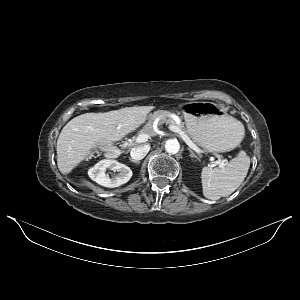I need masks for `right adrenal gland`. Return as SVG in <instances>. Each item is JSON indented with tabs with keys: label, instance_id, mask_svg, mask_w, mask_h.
Listing matches in <instances>:
<instances>
[{
	"label": "right adrenal gland",
	"instance_id": "2a0ac1e0",
	"mask_svg": "<svg viewBox=\"0 0 300 300\" xmlns=\"http://www.w3.org/2000/svg\"><path fill=\"white\" fill-rule=\"evenodd\" d=\"M129 160H130L132 163L140 164V161H136V160H134V159H132V158H130V157H129Z\"/></svg>",
	"mask_w": 300,
	"mask_h": 300
}]
</instances>
